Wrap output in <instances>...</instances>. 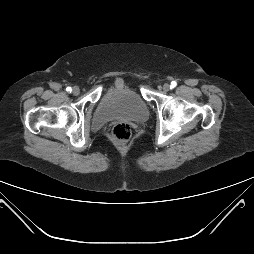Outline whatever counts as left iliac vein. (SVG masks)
Instances as JSON below:
<instances>
[{
    "label": "left iliac vein",
    "mask_w": 254,
    "mask_h": 254,
    "mask_svg": "<svg viewBox=\"0 0 254 254\" xmlns=\"http://www.w3.org/2000/svg\"><path fill=\"white\" fill-rule=\"evenodd\" d=\"M170 90V85L169 84H164L163 85V91L168 92Z\"/></svg>",
    "instance_id": "1"
}]
</instances>
